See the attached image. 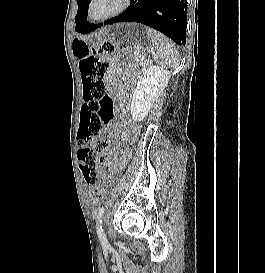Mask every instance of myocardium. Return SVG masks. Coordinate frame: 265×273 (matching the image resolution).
I'll use <instances>...</instances> for the list:
<instances>
[{
	"label": "myocardium",
	"mask_w": 265,
	"mask_h": 273,
	"mask_svg": "<svg viewBox=\"0 0 265 273\" xmlns=\"http://www.w3.org/2000/svg\"><path fill=\"white\" fill-rule=\"evenodd\" d=\"M95 2V0H90L87 6V15L88 18L93 21V22H104L110 19H113L117 16H119L120 14H122L123 12H125L131 5L132 0H122L121 4L111 13L102 16V17H94L92 14V6L93 3Z\"/></svg>",
	"instance_id": "obj_1"
}]
</instances>
